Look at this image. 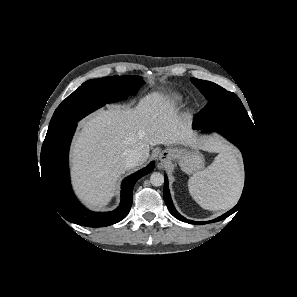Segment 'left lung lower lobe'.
Here are the masks:
<instances>
[{"label":"left lung lower lobe","instance_id":"0a47b994","mask_svg":"<svg viewBox=\"0 0 297 297\" xmlns=\"http://www.w3.org/2000/svg\"><path fill=\"white\" fill-rule=\"evenodd\" d=\"M193 128L198 130H204L207 132H210L212 130L217 131L221 135H223L225 138H227L230 142L235 144L242 152L243 159H244V166H245V186L241 195V198L238 202V204L232 208L230 211L226 212L222 216L211 220V221H205V222H197L192 220H187L183 216H181L175 209L172 199L170 196L169 188H168V179L165 176V183H164V200L165 203L171 212V214L177 218L180 221L187 222L190 224H207L212 222H217L220 220H223L230 216L231 214L235 213L239 208L243 206V204L247 201L252 186L254 183V172H256L257 167V151H258V142L256 140L255 133L242 129L240 127H236L229 124H221V125H215V126H209V127H203L196 123H193ZM238 213V212H237Z\"/></svg>","mask_w":297,"mask_h":297}]
</instances>
